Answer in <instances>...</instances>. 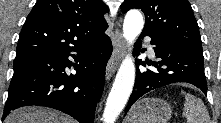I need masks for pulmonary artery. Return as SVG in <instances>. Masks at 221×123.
<instances>
[{
    "label": "pulmonary artery",
    "mask_w": 221,
    "mask_h": 123,
    "mask_svg": "<svg viewBox=\"0 0 221 123\" xmlns=\"http://www.w3.org/2000/svg\"><path fill=\"white\" fill-rule=\"evenodd\" d=\"M148 50L151 55H154V50L151 45L148 46Z\"/></svg>",
    "instance_id": "pulmonary-artery-1"
}]
</instances>
